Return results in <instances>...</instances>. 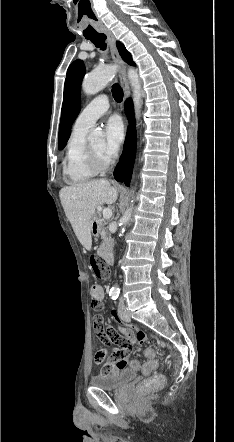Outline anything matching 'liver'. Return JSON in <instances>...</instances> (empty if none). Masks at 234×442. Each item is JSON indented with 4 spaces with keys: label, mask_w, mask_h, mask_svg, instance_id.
Here are the masks:
<instances>
[{
    "label": "liver",
    "mask_w": 234,
    "mask_h": 442,
    "mask_svg": "<svg viewBox=\"0 0 234 442\" xmlns=\"http://www.w3.org/2000/svg\"><path fill=\"white\" fill-rule=\"evenodd\" d=\"M59 196L79 242L86 250H91V222L95 210L105 203H115L118 198L117 189L108 180L101 179L64 187Z\"/></svg>",
    "instance_id": "6515ba94"
}]
</instances>
